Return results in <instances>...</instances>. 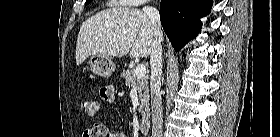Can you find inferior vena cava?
Returning a JSON list of instances; mask_svg holds the SVG:
<instances>
[{
	"label": "inferior vena cava",
	"instance_id": "inferior-vena-cava-1",
	"mask_svg": "<svg viewBox=\"0 0 280 137\" xmlns=\"http://www.w3.org/2000/svg\"><path fill=\"white\" fill-rule=\"evenodd\" d=\"M143 12L151 22L154 36L151 53V109H152V135L151 137H162L163 108L161 102V74H162V46H161V23L159 11L153 6H145Z\"/></svg>",
	"mask_w": 280,
	"mask_h": 137
}]
</instances>
